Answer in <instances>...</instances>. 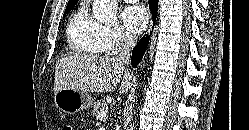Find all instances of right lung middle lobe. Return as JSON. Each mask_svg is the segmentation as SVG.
Segmentation results:
<instances>
[{"label":"right lung middle lobe","mask_w":249,"mask_h":130,"mask_svg":"<svg viewBox=\"0 0 249 130\" xmlns=\"http://www.w3.org/2000/svg\"><path fill=\"white\" fill-rule=\"evenodd\" d=\"M75 6V3L74 4H70V5H67L66 9H65V13H69L71 11V9ZM66 16V14H64V17Z\"/></svg>","instance_id":"obj_1"}]
</instances>
